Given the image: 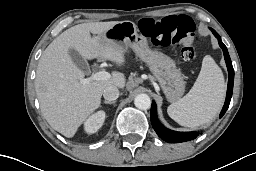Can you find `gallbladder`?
Returning a JSON list of instances; mask_svg holds the SVG:
<instances>
[{
    "instance_id": "bac80fb5",
    "label": "gallbladder",
    "mask_w": 256,
    "mask_h": 171,
    "mask_svg": "<svg viewBox=\"0 0 256 171\" xmlns=\"http://www.w3.org/2000/svg\"><path fill=\"white\" fill-rule=\"evenodd\" d=\"M69 55L79 69L82 71H87L89 69L88 63L75 49H70Z\"/></svg>"
}]
</instances>
